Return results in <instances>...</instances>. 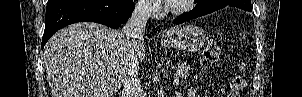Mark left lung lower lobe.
Masks as SVG:
<instances>
[{"label": "left lung lower lobe", "instance_id": "obj_1", "mask_svg": "<svg viewBox=\"0 0 302 97\" xmlns=\"http://www.w3.org/2000/svg\"><path fill=\"white\" fill-rule=\"evenodd\" d=\"M226 6L237 7L245 11H252L251 0H238V2H231L222 4L217 0H198L195 8L187 13L178 16L173 23L180 24L194 18L212 13Z\"/></svg>", "mask_w": 302, "mask_h": 97}]
</instances>
